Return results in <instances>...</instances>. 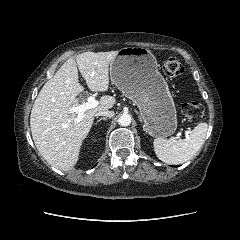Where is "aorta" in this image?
<instances>
[{
    "label": "aorta",
    "instance_id": "1",
    "mask_svg": "<svg viewBox=\"0 0 240 240\" xmlns=\"http://www.w3.org/2000/svg\"><path fill=\"white\" fill-rule=\"evenodd\" d=\"M131 116L129 114H122L118 119V124L120 126H129L131 124Z\"/></svg>",
    "mask_w": 240,
    "mask_h": 240
}]
</instances>
